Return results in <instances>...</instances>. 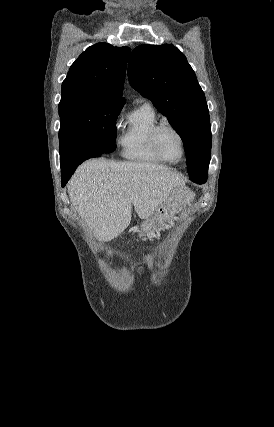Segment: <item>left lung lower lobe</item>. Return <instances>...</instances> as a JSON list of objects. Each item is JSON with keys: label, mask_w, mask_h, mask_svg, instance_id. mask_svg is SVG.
<instances>
[{"label": "left lung lower lobe", "mask_w": 274, "mask_h": 427, "mask_svg": "<svg viewBox=\"0 0 274 427\" xmlns=\"http://www.w3.org/2000/svg\"><path fill=\"white\" fill-rule=\"evenodd\" d=\"M189 178L195 183L203 184L206 182L208 175L189 174Z\"/></svg>", "instance_id": "obj_1"}]
</instances>
